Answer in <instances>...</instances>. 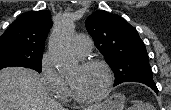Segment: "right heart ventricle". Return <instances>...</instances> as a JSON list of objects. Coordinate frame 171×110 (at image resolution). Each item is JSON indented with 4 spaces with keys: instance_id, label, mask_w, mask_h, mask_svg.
Returning <instances> with one entry per match:
<instances>
[{
    "instance_id": "right-heart-ventricle-1",
    "label": "right heart ventricle",
    "mask_w": 171,
    "mask_h": 110,
    "mask_svg": "<svg viewBox=\"0 0 171 110\" xmlns=\"http://www.w3.org/2000/svg\"><path fill=\"white\" fill-rule=\"evenodd\" d=\"M69 97V90H68V86L66 84V87H65V91H64V94L62 97H60L61 100H64V99H67Z\"/></svg>"
}]
</instances>
